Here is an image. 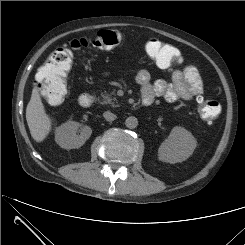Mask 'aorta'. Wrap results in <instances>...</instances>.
<instances>
[{
  "label": "aorta",
  "instance_id": "obj_1",
  "mask_svg": "<svg viewBox=\"0 0 245 245\" xmlns=\"http://www.w3.org/2000/svg\"><path fill=\"white\" fill-rule=\"evenodd\" d=\"M125 125L127 128L129 129H134L137 127L138 125V120L136 117L134 116H130L125 120Z\"/></svg>",
  "mask_w": 245,
  "mask_h": 245
}]
</instances>
